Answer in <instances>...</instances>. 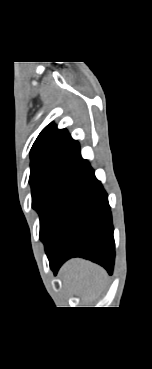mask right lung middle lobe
<instances>
[{"label":"right lung middle lobe","instance_id":"right-lung-middle-lobe-1","mask_svg":"<svg viewBox=\"0 0 152 369\" xmlns=\"http://www.w3.org/2000/svg\"><path fill=\"white\" fill-rule=\"evenodd\" d=\"M79 164H60L31 171L32 207L40 216V239L43 241L52 224L57 206L79 171Z\"/></svg>","mask_w":152,"mask_h":369}]
</instances>
